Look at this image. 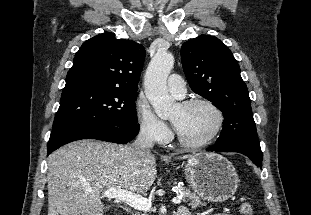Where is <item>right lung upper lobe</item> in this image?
I'll use <instances>...</instances> for the list:
<instances>
[{"label":"right lung upper lobe","mask_w":311,"mask_h":215,"mask_svg":"<svg viewBox=\"0 0 311 215\" xmlns=\"http://www.w3.org/2000/svg\"><path fill=\"white\" fill-rule=\"evenodd\" d=\"M144 60L141 44L116 39L112 33L99 34L76 53L65 86L91 84L137 91Z\"/></svg>","instance_id":"right-lung-upper-lobe-1"}]
</instances>
